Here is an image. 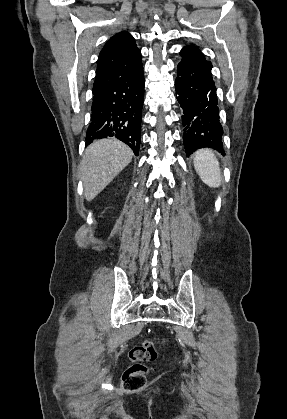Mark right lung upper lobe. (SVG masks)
<instances>
[{"instance_id": "right-lung-upper-lobe-1", "label": "right lung upper lobe", "mask_w": 287, "mask_h": 419, "mask_svg": "<svg viewBox=\"0 0 287 419\" xmlns=\"http://www.w3.org/2000/svg\"><path fill=\"white\" fill-rule=\"evenodd\" d=\"M142 66L140 50L128 32H119L105 44L97 60L93 90L127 77Z\"/></svg>"}]
</instances>
